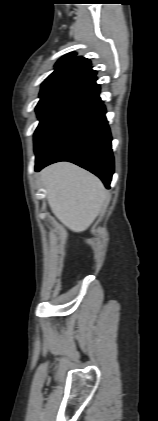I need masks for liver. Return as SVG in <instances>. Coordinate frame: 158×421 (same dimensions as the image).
Here are the masks:
<instances>
[{"label": "liver", "instance_id": "1", "mask_svg": "<svg viewBox=\"0 0 158 421\" xmlns=\"http://www.w3.org/2000/svg\"><path fill=\"white\" fill-rule=\"evenodd\" d=\"M41 181L51 211L73 232L85 231L107 200V191L96 176L68 162L46 167Z\"/></svg>", "mask_w": 158, "mask_h": 421}]
</instances>
